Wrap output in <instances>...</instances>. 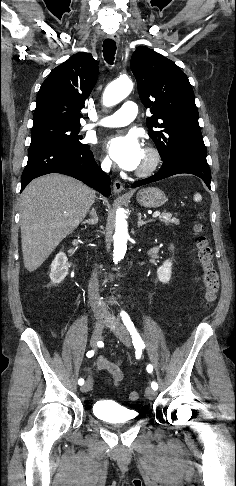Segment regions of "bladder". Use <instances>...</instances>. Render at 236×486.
I'll list each match as a JSON object with an SVG mask.
<instances>
[{
    "label": "bladder",
    "instance_id": "1",
    "mask_svg": "<svg viewBox=\"0 0 236 486\" xmlns=\"http://www.w3.org/2000/svg\"><path fill=\"white\" fill-rule=\"evenodd\" d=\"M92 412L96 418L112 424L130 423L138 418L136 411L107 400L95 402Z\"/></svg>",
    "mask_w": 236,
    "mask_h": 486
}]
</instances>
